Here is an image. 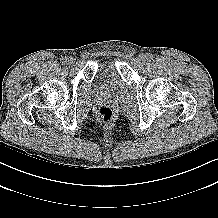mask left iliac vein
<instances>
[{"label":"left iliac vein","mask_w":218,"mask_h":218,"mask_svg":"<svg viewBox=\"0 0 218 218\" xmlns=\"http://www.w3.org/2000/svg\"><path fill=\"white\" fill-rule=\"evenodd\" d=\"M138 59H139V62H140L141 64H143V63L146 62L147 56H146L145 54H140Z\"/></svg>","instance_id":"left-iliac-vein-1"}]
</instances>
